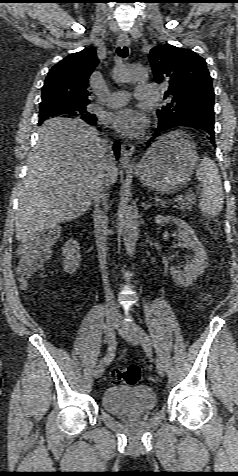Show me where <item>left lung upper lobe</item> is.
<instances>
[{
    "label": "left lung upper lobe",
    "mask_w": 238,
    "mask_h": 476,
    "mask_svg": "<svg viewBox=\"0 0 238 476\" xmlns=\"http://www.w3.org/2000/svg\"><path fill=\"white\" fill-rule=\"evenodd\" d=\"M150 63L158 83L168 89L164 98L171 103L157 112L159 122L190 117L214 120V90L205 60L189 49L170 44L150 51Z\"/></svg>",
    "instance_id": "left-lung-upper-lobe-1"
}]
</instances>
